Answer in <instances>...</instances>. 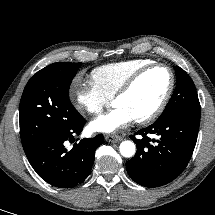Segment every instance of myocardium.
<instances>
[{
	"mask_svg": "<svg viewBox=\"0 0 215 215\" xmlns=\"http://www.w3.org/2000/svg\"><path fill=\"white\" fill-rule=\"evenodd\" d=\"M155 68H165L169 75H170V83L168 86V89L165 93V95L163 96L162 100L160 101V103L157 105V107L148 115L141 117V118H137L135 119V122L138 124H149L151 122H153L154 120H156L165 110L172 94L175 88V74L172 70V68L164 63H152L142 69H140L139 71H137L136 73H134L123 85L122 87L116 92V94L113 97V101H115L116 99L128 94L133 87L136 85V83L149 71L155 69Z\"/></svg>",
	"mask_w": 215,
	"mask_h": 215,
	"instance_id": "obj_1",
	"label": "myocardium"
}]
</instances>
